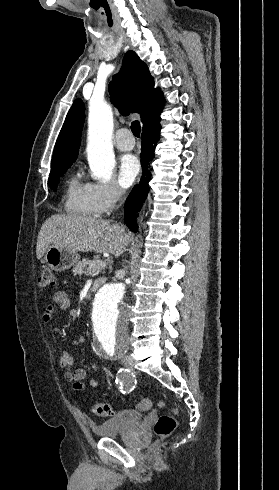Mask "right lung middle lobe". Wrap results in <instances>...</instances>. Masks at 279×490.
<instances>
[{"instance_id":"obj_1","label":"right lung middle lobe","mask_w":279,"mask_h":490,"mask_svg":"<svg viewBox=\"0 0 279 490\" xmlns=\"http://www.w3.org/2000/svg\"><path fill=\"white\" fill-rule=\"evenodd\" d=\"M71 165L68 166H63L57 169H54L50 172L49 176V186L53 189L56 190L57 184L59 181V177H61L64 172L70 167Z\"/></svg>"}]
</instances>
